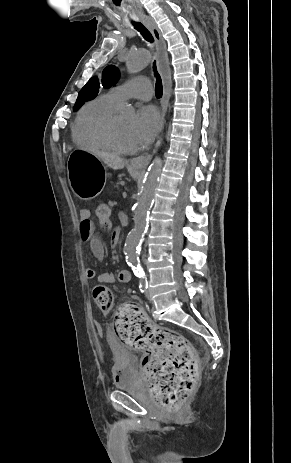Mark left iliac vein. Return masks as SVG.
<instances>
[{
    "label": "left iliac vein",
    "instance_id": "4c4485c4",
    "mask_svg": "<svg viewBox=\"0 0 291 463\" xmlns=\"http://www.w3.org/2000/svg\"><path fill=\"white\" fill-rule=\"evenodd\" d=\"M146 297H147L148 300H151V296H150L148 291H146Z\"/></svg>",
    "mask_w": 291,
    "mask_h": 463
}]
</instances>
